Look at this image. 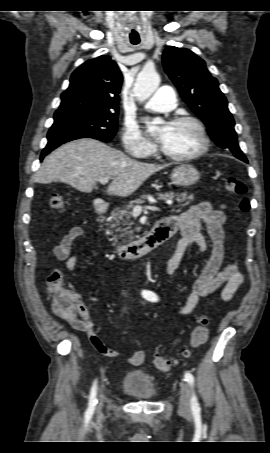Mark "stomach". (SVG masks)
<instances>
[{
	"label": "stomach",
	"instance_id": "0dacf381",
	"mask_svg": "<svg viewBox=\"0 0 270 453\" xmlns=\"http://www.w3.org/2000/svg\"><path fill=\"white\" fill-rule=\"evenodd\" d=\"M199 179V171L189 164L179 165L171 173L172 183L176 186L188 187L197 183Z\"/></svg>",
	"mask_w": 270,
	"mask_h": 453
}]
</instances>
